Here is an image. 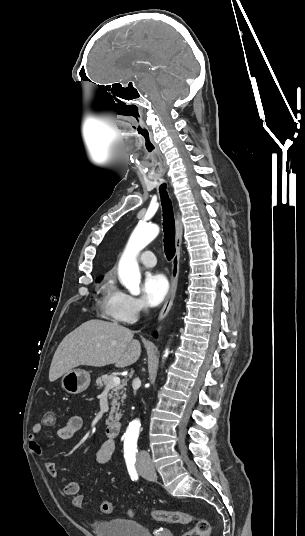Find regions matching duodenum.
<instances>
[{
    "instance_id": "410a0bca",
    "label": "duodenum",
    "mask_w": 305,
    "mask_h": 536,
    "mask_svg": "<svg viewBox=\"0 0 305 536\" xmlns=\"http://www.w3.org/2000/svg\"><path fill=\"white\" fill-rule=\"evenodd\" d=\"M122 424L119 422H113L105 427V433L108 437L114 438L121 434Z\"/></svg>"
}]
</instances>
